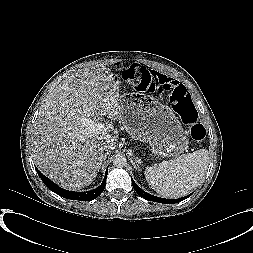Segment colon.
Here are the masks:
<instances>
[{
  "label": "colon",
  "instance_id": "5ec220e1",
  "mask_svg": "<svg viewBox=\"0 0 253 253\" xmlns=\"http://www.w3.org/2000/svg\"><path fill=\"white\" fill-rule=\"evenodd\" d=\"M149 75L148 70L139 66L131 65L123 71V77L126 81L134 83L136 79H146ZM161 90L168 91L173 104L174 111L180 116L183 122L190 125V136L196 142H201L206 134L205 128L198 123V114L191 98L181 84H175L170 88Z\"/></svg>",
  "mask_w": 253,
  "mask_h": 253
}]
</instances>
